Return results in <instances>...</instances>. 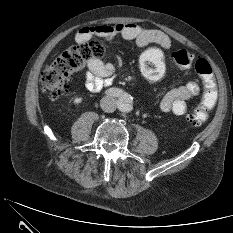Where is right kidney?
<instances>
[{
  "label": "right kidney",
  "instance_id": "ca27d5eb",
  "mask_svg": "<svg viewBox=\"0 0 233 233\" xmlns=\"http://www.w3.org/2000/svg\"><path fill=\"white\" fill-rule=\"evenodd\" d=\"M83 101L82 97H75L73 100V103L75 104V106H79Z\"/></svg>",
  "mask_w": 233,
  "mask_h": 233
}]
</instances>
